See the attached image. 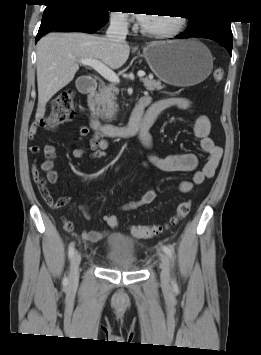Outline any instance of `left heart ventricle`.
<instances>
[{
    "label": "left heart ventricle",
    "mask_w": 261,
    "mask_h": 355,
    "mask_svg": "<svg viewBox=\"0 0 261 355\" xmlns=\"http://www.w3.org/2000/svg\"><path fill=\"white\" fill-rule=\"evenodd\" d=\"M176 17L166 16V15H147L145 21L142 23V26L147 30L154 31H165L170 30L176 25Z\"/></svg>",
    "instance_id": "1"
}]
</instances>
